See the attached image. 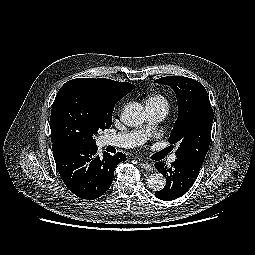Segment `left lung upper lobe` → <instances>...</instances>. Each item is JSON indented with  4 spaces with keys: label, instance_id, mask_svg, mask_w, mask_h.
<instances>
[{
    "label": "left lung upper lobe",
    "instance_id": "obj_1",
    "mask_svg": "<svg viewBox=\"0 0 255 255\" xmlns=\"http://www.w3.org/2000/svg\"><path fill=\"white\" fill-rule=\"evenodd\" d=\"M155 82L170 86L177 97L178 118L169 137L171 144L179 145L176 156L203 164L214 117L206 89L188 77L168 76Z\"/></svg>",
    "mask_w": 255,
    "mask_h": 255
}]
</instances>
